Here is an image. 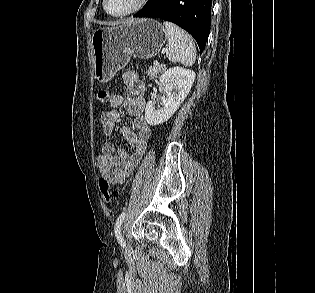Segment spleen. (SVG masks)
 <instances>
[{"mask_svg": "<svg viewBox=\"0 0 315 293\" xmlns=\"http://www.w3.org/2000/svg\"><path fill=\"white\" fill-rule=\"evenodd\" d=\"M168 49L167 57L172 62L192 66L196 60V47L193 38L174 23L165 21Z\"/></svg>", "mask_w": 315, "mask_h": 293, "instance_id": "3e777b00", "label": "spleen"}]
</instances>
